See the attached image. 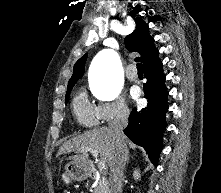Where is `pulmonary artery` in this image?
<instances>
[{
	"instance_id": "pulmonary-artery-1",
	"label": "pulmonary artery",
	"mask_w": 221,
	"mask_h": 193,
	"mask_svg": "<svg viewBox=\"0 0 221 193\" xmlns=\"http://www.w3.org/2000/svg\"><path fill=\"white\" fill-rule=\"evenodd\" d=\"M126 76L130 81H135L138 78L137 71H135V70H128L126 72Z\"/></svg>"
}]
</instances>
